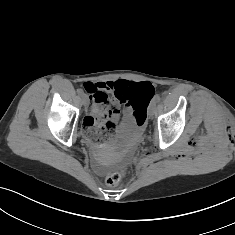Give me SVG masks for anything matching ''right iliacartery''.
Masks as SVG:
<instances>
[{
	"label": "right iliac artery",
	"mask_w": 235,
	"mask_h": 235,
	"mask_svg": "<svg viewBox=\"0 0 235 235\" xmlns=\"http://www.w3.org/2000/svg\"><path fill=\"white\" fill-rule=\"evenodd\" d=\"M77 92H78V94H79V95H81V96H83V95H84V92H83V90H82V89H78V90H77Z\"/></svg>",
	"instance_id": "right-iliac-artery-1"
}]
</instances>
